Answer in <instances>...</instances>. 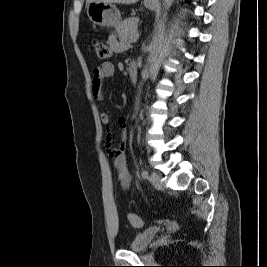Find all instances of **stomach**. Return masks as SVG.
Returning a JSON list of instances; mask_svg holds the SVG:
<instances>
[{"label": "stomach", "instance_id": "stomach-1", "mask_svg": "<svg viewBox=\"0 0 267 267\" xmlns=\"http://www.w3.org/2000/svg\"><path fill=\"white\" fill-rule=\"evenodd\" d=\"M146 8L153 10L156 6L155 0H145ZM87 15L90 21L100 27H117L121 21V14L112 3L93 1L87 5Z\"/></svg>", "mask_w": 267, "mask_h": 267}]
</instances>
